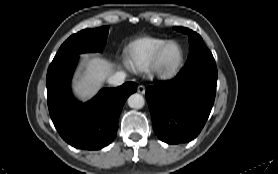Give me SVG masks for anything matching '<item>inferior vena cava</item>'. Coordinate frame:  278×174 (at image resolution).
<instances>
[{
    "instance_id": "602c4592",
    "label": "inferior vena cava",
    "mask_w": 278,
    "mask_h": 174,
    "mask_svg": "<svg viewBox=\"0 0 278 174\" xmlns=\"http://www.w3.org/2000/svg\"><path fill=\"white\" fill-rule=\"evenodd\" d=\"M125 78H126L125 72L123 71L116 72L115 74H113L108 78V83L114 86H119L124 83Z\"/></svg>"
}]
</instances>
